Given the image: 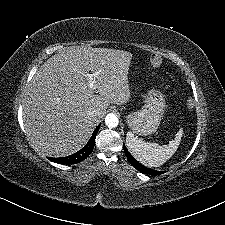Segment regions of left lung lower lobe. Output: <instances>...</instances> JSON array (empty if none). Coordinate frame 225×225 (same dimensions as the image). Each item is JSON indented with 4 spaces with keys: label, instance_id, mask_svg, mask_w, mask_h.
Wrapping results in <instances>:
<instances>
[{
    "label": "left lung lower lobe",
    "instance_id": "left-lung-lower-lobe-1",
    "mask_svg": "<svg viewBox=\"0 0 225 225\" xmlns=\"http://www.w3.org/2000/svg\"><path fill=\"white\" fill-rule=\"evenodd\" d=\"M124 152H125V155H126L128 161L132 164V166L135 167L141 173L150 174V175H160V174L163 173L161 171H155V170L146 168L145 166H143L142 164H140L137 160H135L130 155V153L128 152V150H127V148L125 146H124Z\"/></svg>",
    "mask_w": 225,
    "mask_h": 225
}]
</instances>
